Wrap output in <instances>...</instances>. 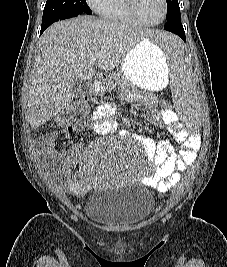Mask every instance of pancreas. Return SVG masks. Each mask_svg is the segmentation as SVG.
Segmentation results:
<instances>
[{"label": "pancreas", "mask_w": 227, "mask_h": 267, "mask_svg": "<svg viewBox=\"0 0 227 267\" xmlns=\"http://www.w3.org/2000/svg\"><path fill=\"white\" fill-rule=\"evenodd\" d=\"M105 84H106V89L110 90L115 85L126 86V85H128V82L123 75H121L119 73H114L106 79Z\"/></svg>", "instance_id": "pancreas-1"}]
</instances>
